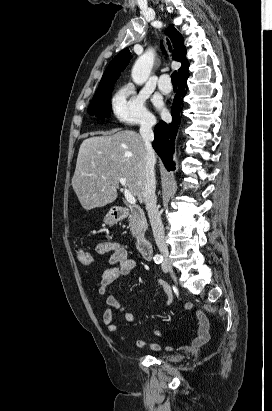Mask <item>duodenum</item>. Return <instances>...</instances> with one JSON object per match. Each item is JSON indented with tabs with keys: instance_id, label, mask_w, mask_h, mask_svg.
Here are the masks:
<instances>
[{
	"instance_id": "duodenum-1",
	"label": "duodenum",
	"mask_w": 272,
	"mask_h": 411,
	"mask_svg": "<svg viewBox=\"0 0 272 411\" xmlns=\"http://www.w3.org/2000/svg\"><path fill=\"white\" fill-rule=\"evenodd\" d=\"M129 209L126 207L116 206L112 208V214L118 220H121L126 217ZM136 247L139 253L145 260H150L152 256V249L149 244L148 239L145 236H140L136 240Z\"/></svg>"
}]
</instances>
